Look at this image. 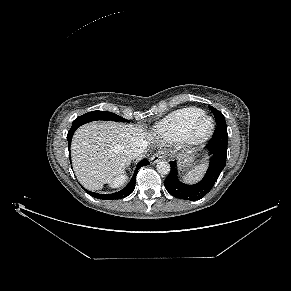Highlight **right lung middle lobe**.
<instances>
[{
  "label": "right lung middle lobe",
  "mask_w": 291,
  "mask_h": 291,
  "mask_svg": "<svg viewBox=\"0 0 291 291\" xmlns=\"http://www.w3.org/2000/svg\"><path fill=\"white\" fill-rule=\"evenodd\" d=\"M97 120H111V121H121V122H129V120L111 113V112H107V111H92V112H88L82 116L77 117L74 121L73 124H77L79 126L91 122V121H97Z\"/></svg>",
  "instance_id": "dd1d6c3e"
}]
</instances>
